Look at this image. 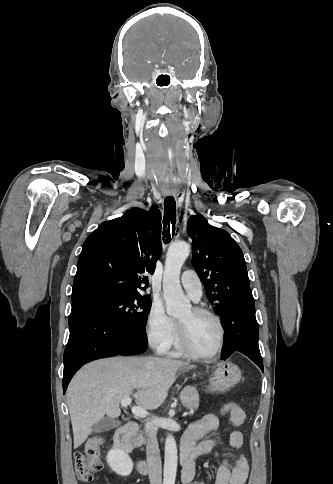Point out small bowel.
<instances>
[{"label": "small bowel", "mask_w": 333, "mask_h": 484, "mask_svg": "<svg viewBox=\"0 0 333 484\" xmlns=\"http://www.w3.org/2000/svg\"><path fill=\"white\" fill-rule=\"evenodd\" d=\"M223 415L227 416L235 427L241 426L245 420V412L241 407ZM219 424V416L206 414L185 432L183 439L193 442L194 451L190 463L183 468V484H205L203 481L195 479V461L201 455L209 453L218 443L216 438L207 436L215 431ZM229 443L232 451L226 454L220 465L215 484H245L249 474V465L246 457L241 453L243 434L239 430H234L230 434Z\"/></svg>", "instance_id": "c3829d8e"}]
</instances>
